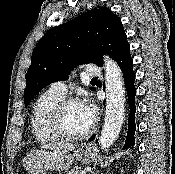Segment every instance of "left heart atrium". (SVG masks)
I'll list each match as a JSON object with an SVG mask.
<instances>
[{
  "instance_id": "1",
  "label": "left heart atrium",
  "mask_w": 175,
  "mask_h": 174,
  "mask_svg": "<svg viewBox=\"0 0 175 174\" xmlns=\"http://www.w3.org/2000/svg\"><path fill=\"white\" fill-rule=\"evenodd\" d=\"M82 105L84 107L87 116L89 117L91 122H93L95 119V112H96L95 106L90 101H86L82 103Z\"/></svg>"
}]
</instances>
